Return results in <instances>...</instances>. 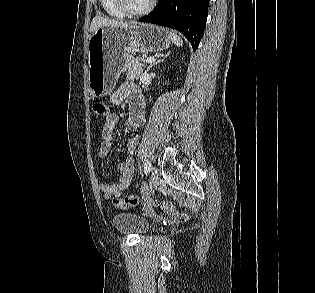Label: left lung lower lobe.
I'll return each instance as SVG.
<instances>
[{"mask_svg": "<svg viewBox=\"0 0 315 293\" xmlns=\"http://www.w3.org/2000/svg\"><path fill=\"white\" fill-rule=\"evenodd\" d=\"M210 0H159L151 13L139 19L180 31L195 51L204 34Z\"/></svg>", "mask_w": 315, "mask_h": 293, "instance_id": "left-lung-lower-lobe-1", "label": "left lung lower lobe"}]
</instances>
